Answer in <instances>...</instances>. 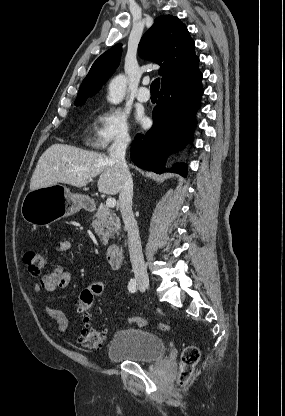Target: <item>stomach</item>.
I'll return each mask as SVG.
<instances>
[{
	"instance_id": "obj_1",
	"label": "stomach",
	"mask_w": 285,
	"mask_h": 416,
	"mask_svg": "<svg viewBox=\"0 0 285 416\" xmlns=\"http://www.w3.org/2000/svg\"><path fill=\"white\" fill-rule=\"evenodd\" d=\"M81 208L83 200L80 196L71 194L62 184H55L28 192L22 202L21 216L28 224L47 226L76 214Z\"/></svg>"
}]
</instances>
